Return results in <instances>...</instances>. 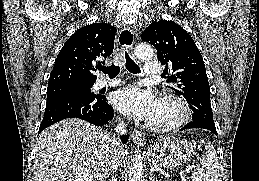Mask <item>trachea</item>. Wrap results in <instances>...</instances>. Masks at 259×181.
Returning <instances> with one entry per match:
<instances>
[{"label":"trachea","mask_w":259,"mask_h":181,"mask_svg":"<svg viewBox=\"0 0 259 181\" xmlns=\"http://www.w3.org/2000/svg\"><path fill=\"white\" fill-rule=\"evenodd\" d=\"M125 65H126V68L131 72V73H134V74H137V73H140V68L138 67V65L135 64V62L130 58V56L128 55L127 52H125ZM100 70L103 72V73H106L108 74L109 78H114L116 77L119 72H120V66L119 65H111V66H108V67H101Z\"/></svg>","instance_id":"obj_1"}]
</instances>
